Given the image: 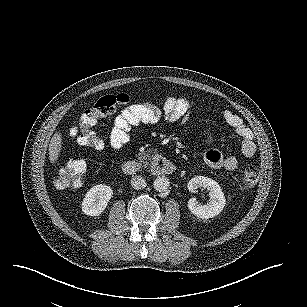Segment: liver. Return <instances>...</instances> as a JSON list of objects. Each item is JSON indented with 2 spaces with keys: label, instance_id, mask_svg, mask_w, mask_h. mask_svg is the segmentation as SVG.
Wrapping results in <instances>:
<instances>
[{
  "label": "liver",
  "instance_id": "6515ba94",
  "mask_svg": "<svg viewBox=\"0 0 307 307\" xmlns=\"http://www.w3.org/2000/svg\"><path fill=\"white\" fill-rule=\"evenodd\" d=\"M61 142V134L56 132L49 144V160L51 163H55L58 160L61 151Z\"/></svg>",
  "mask_w": 307,
  "mask_h": 307
}]
</instances>
